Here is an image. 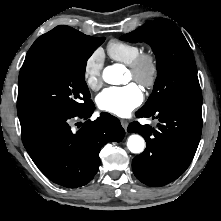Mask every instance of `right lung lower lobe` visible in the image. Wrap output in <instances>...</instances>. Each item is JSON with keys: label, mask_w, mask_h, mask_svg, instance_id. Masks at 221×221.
<instances>
[{"label": "right lung lower lobe", "mask_w": 221, "mask_h": 221, "mask_svg": "<svg viewBox=\"0 0 221 221\" xmlns=\"http://www.w3.org/2000/svg\"><path fill=\"white\" fill-rule=\"evenodd\" d=\"M94 109L91 101L78 112H59L20 122L24 147L54 183L68 188L87 184L98 171L101 148L124 138L120 121L109 113L90 121ZM79 119L85 122L76 123V130L72 122Z\"/></svg>", "instance_id": "obj_1"}]
</instances>
